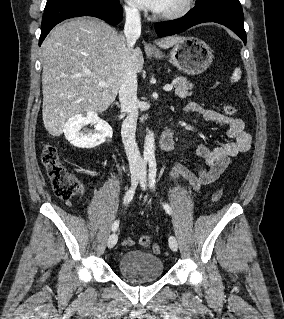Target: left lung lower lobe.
Listing matches in <instances>:
<instances>
[{"mask_svg":"<svg viewBox=\"0 0 284 319\" xmlns=\"http://www.w3.org/2000/svg\"><path fill=\"white\" fill-rule=\"evenodd\" d=\"M205 22H215L228 27L246 44L244 15L239 0H211L197 4L182 18L156 23L155 30L158 36L164 37Z\"/></svg>","mask_w":284,"mask_h":319,"instance_id":"1","label":"left lung lower lobe"}]
</instances>
